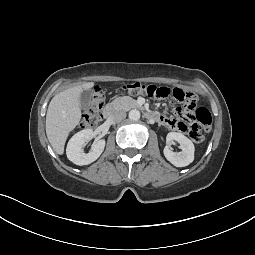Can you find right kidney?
Masks as SVG:
<instances>
[{
	"label": "right kidney",
	"mask_w": 255,
	"mask_h": 255,
	"mask_svg": "<svg viewBox=\"0 0 255 255\" xmlns=\"http://www.w3.org/2000/svg\"><path fill=\"white\" fill-rule=\"evenodd\" d=\"M93 137L92 129H85L76 133L68 142L66 148L67 158L76 165H88L99 158L105 148V140L101 139L93 144L92 150L85 153L82 150L85 142Z\"/></svg>",
	"instance_id": "ca27d5eb"
}]
</instances>
